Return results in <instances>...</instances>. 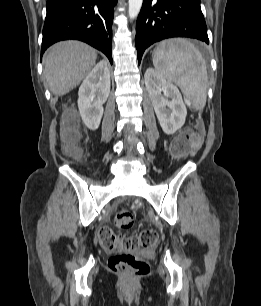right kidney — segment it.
Wrapping results in <instances>:
<instances>
[{
	"instance_id": "1",
	"label": "right kidney",
	"mask_w": 261,
	"mask_h": 306,
	"mask_svg": "<svg viewBox=\"0 0 261 306\" xmlns=\"http://www.w3.org/2000/svg\"><path fill=\"white\" fill-rule=\"evenodd\" d=\"M110 93V72L107 61H100L82 82L78 92V108L85 125L98 129L102 116L103 104Z\"/></svg>"
}]
</instances>
